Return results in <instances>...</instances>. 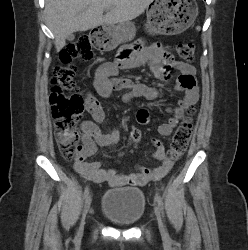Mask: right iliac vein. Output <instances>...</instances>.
Listing matches in <instances>:
<instances>
[{"instance_id":"63e3f726","label":"right iliac vein","mask_w":248,"mask_h":250,"mask_svg":"<svg viewBox=\"0 0 248 250\" xmlns=\"http://www.w3.org/2000/svg\"><path fill=\"white\" fill-rule=\"evenodd\" d=\"M90 205H91V196H88L86 198V201H85V205H84V209H83V212H82V219H81V223H80V227H79V232H82L83 231V228H84V224H85V217L90 209Z\"/></svg>"}]
</instances>
